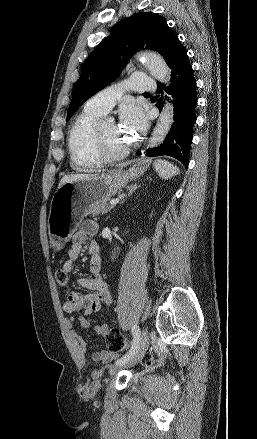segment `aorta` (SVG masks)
I'll use <instances>...</instances> for the list:
<instances>
[{
	"label": "aorta",
	"instance_id": "aorta-1",
	"mask_svg": "<svg viewBox=\"0 0 257 439\" xmlns=\"http://www.w3.org/2000/svg\"><path fill=\"white\" fill-rule=\"evenodd\" d=\"M149 70L150 74L159 81L166 83L169 74V68L162 56L155 52H141L136 56ZM173 122V106L167 102L159 117L156 127L150 139L151 146L160 144L168 134Z\"/></svg>",
	"mask_w": 257,
	"mask_h": 439
}]
</instances>
